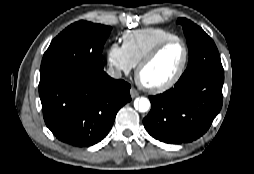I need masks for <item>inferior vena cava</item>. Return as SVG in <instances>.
Returning <instances> with one entry per match:
<instances>
[{
	"label": "inferior vena cava",
	"instance_id": "602c4592",
	"mask_svg": "<svg viewBox=\"0 0 254 174\" xmlns=\"http://www.w3.org/2000/svg\"><path fill=\"white\" fill-rule=\"evenodd\" d=\"M107 74L115 79H119L122 76L121 71L117 68H114V67L108 68Z\"/></svg>",
	"mask_w": 254,
	"mask_h": 174
}]
</instances>
